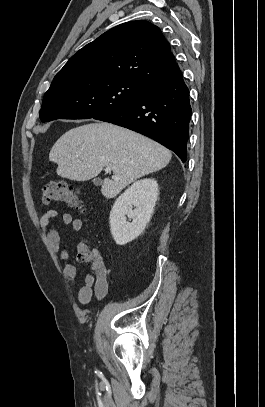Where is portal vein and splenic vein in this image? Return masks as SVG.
Instances as JSON below:
<instances>
[{
    "label": "portal vein and splenic vein",
    "mask_w": 265,
    "mask_h": 407,
    "mask_svg": "<svg viewBox=\"0 0 265 407\" xmlns=\"http://www.w3.org/2000/svg\"><path fill=\"white\" fill-rule=\"evenodd\" d=\"M105 171H106L107 173H109V172H111V168H110V167H106V168H105Z\"/></svg>",
    "instance_id": "18ae733b"
}]
</instances>
